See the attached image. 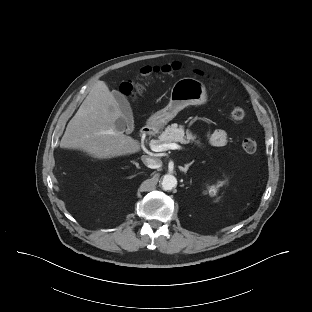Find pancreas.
Instances as JSON below:
<instances>
[{"label":"pancreas","mask_w":312,"mask_h":312,"mask_svg":"<svg viewBox=\"0 0 312 312\" xmlns=\"http://www.w3.org/2000/svg\"><path fill=\"white\" fill-rule=\"evenodd\" d=\"M156 144H169L172 142H180L183 144L195 141L197 144L200 142L196 141V135H193L190 130H184L183 125H177L176 123L167 126L165 131L161 133L158 140H154Z\"/></svg>","instance_id":"obj_1"}]
</instances>
